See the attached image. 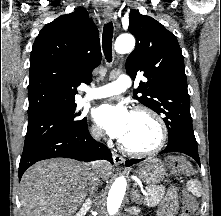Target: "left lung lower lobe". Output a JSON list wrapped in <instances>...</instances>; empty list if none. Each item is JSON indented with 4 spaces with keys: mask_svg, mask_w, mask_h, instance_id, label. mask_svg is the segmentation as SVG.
Returning <instances> with one entry per match:
<instances>
[{
    "mask_svg": "<svg viewBox=\"0 0 221 216\" xmlns=\"http://www.w3.org/2000/svg\"><path fill=\"white\" fill-rule=\"evenodd\" d=\"M169 152H180L184 153L190 157H192L199 165H200V160H199V155H198V148L184 144V143H179L175 145H167V147L161 151L160 153H169ZM143 159H131L126 161V165L130 166L132 164L138 163L139 161H142Z\"/></svg>",
    "mask_w": 221,
    "mask_h": 216,
    "instance_id": "1",
    "label": "left lung lower lobe"
}]
</instances>
